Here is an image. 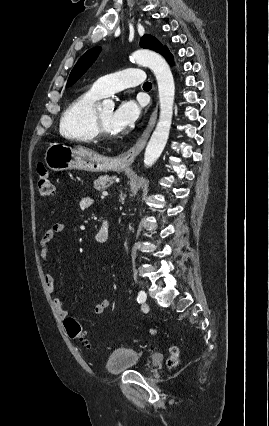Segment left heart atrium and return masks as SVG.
I'll use <instances>...</instances> for the list:
<instances>
[{"mask_svg":"<svg viewBox=\"0 0 269 426\" xmlns=\"http://www.w3.org/2000/svg\"><path fill=\"white\" fill-rule=\"evenodd\" d=\"M141 107L134 100H125L113 111L112 126L116 131H123L132 126L139 118Z\"/></svg>","mask_w":269,"mask_h":426,"instance_id":"left-heart-atrium-1","label":"left heart atrium"}]
</instances>
